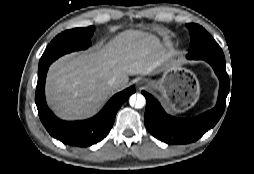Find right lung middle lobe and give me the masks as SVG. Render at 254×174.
Wrapping results in <instances>:
<instances>
[{
  "label": "right lung middle lobe",
  "instance_id": "1",
  "mask_svg": "<svg viewBox=\"0 0 254 174\" xmlns=\"http://www.w3.org/2000/svg\"><path fill=\"white\" fill-rule=\"evenodd\" d=\"M94 30V26L75 28L57 35L43 53L39 61L38 71H41L66 53L88 48L91 45L90 39Z\"/></svg>",
  "mask_w": 254,
  "mask_h": 174
}]
</instances>
